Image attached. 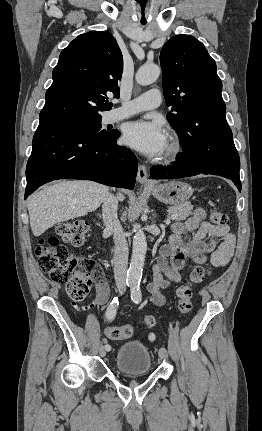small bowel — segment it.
<instances>
[{"label":"small bowel","mask_w":262,"mask_h":431,"mask_svg":"<svg viewBox=\"0 0 262 431\" xmlns=\"http://www.w3.org/2000/svg\"><path fill=\"white\" fill-rule=\"evenodd\" d=\"M204 212L196 210L191 217L182 222L171 225L168 242L159 251L157 262L153 266L152 281L148 286L152 301L157 306H163L166 298L162 291L171 284L182 280L181 270L187 258L201 264L210 257L215 266H224L229 263L235 247V236L227 225L216 227L208 221H203ZM186 233H192L190 241L185 242ZM214 238H220L221 244L217 247ZM109 297V287L104 278L96 283V295L92 305H101ZM151 341L155 334L150 333Z\"/></svg>","instance_id":"1"}]
</instances>
